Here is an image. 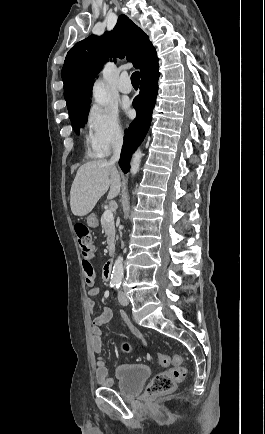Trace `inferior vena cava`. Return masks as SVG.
<instances>
[{
  "label": "inferior vena cava",
  "mask_w": 265,
  "mask_h": 434,
  "mask_svg": "<svg viewBox=\"0 0 265 434\" xmlns=\"http://www.w3.org/2000/svg\"><path fill=\"white\" fill-rule=\"evenodd\" d=\"M123 140L122 138H119V140H115L113 142V156L110 160L111 164H115V162H118L121 154V148H122Z\"/></svg>",
  "instance_id": "602c4592"
}]
</instances>
